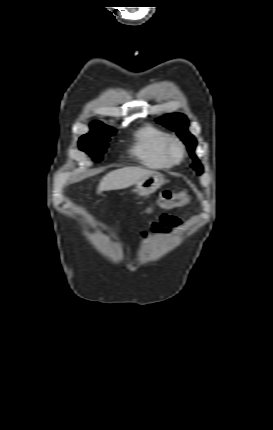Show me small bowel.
Instances as JSON below:
<instances>
[{"label": "small bowel", "mask_w": 273, "mask_h": 430, "mask_svg": "<svg viewBox=\"0 0 273 430\" xmlns=\"http://www.w3.org/2000/svg\"><path fill=\"white\" fill-rule=\"evenodd\" d=\"M179 223V220H177L176 218L164 217L161 218L160 221L155 222L151 225V231L155 234L167 235L170 234L176 227H178ZM141 237L145 239L146 233L142 232Z\"/></svg>", "instance_id": "small-bowel-1"}]
</instances>
